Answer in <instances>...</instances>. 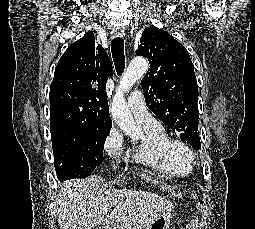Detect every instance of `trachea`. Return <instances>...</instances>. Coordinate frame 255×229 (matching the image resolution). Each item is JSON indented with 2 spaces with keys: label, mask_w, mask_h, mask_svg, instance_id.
I'll return each instance as SVG.
<instances>
[{
  "label": "trachea",
  "mask_w": 255,
  "mask_h": 229,
  "mask_svg": "<svg viewBox=\"0 0 255 229\" xmlns=\"http://www.w3.org/2000/svg\"><path fill=\"white\" fill-rule=\"evenodd\" d=\"M111 51L117 74L121 75L125 68L124 40L121 37L111 41Z\"/></svg>",
  "instance_id": "3493384b"
}]
</instances>
